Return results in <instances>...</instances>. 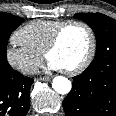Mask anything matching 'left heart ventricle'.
<instances>
[{"mask_svg": "<svg viewBox=\"0 0 116 116\" xmlns=\"http://www.w3.org/2000/svg\"><path fill=\"white\" fill-rule=\"evenodd\" d=\"M89 44V34L83 27L70 26L62 34L57 48L48 55V59L56 61L63 70L74 68L86 57Z\"/></svg>", "mask_w": 116, "mask_h": 116, "instance_id": "b2bd125f", "label": "left heart ventricle"}]
</instances>
